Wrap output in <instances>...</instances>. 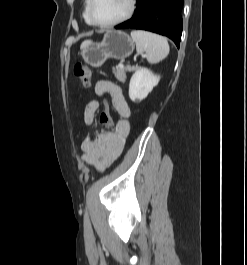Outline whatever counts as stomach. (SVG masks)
Returning a JSON list of instances; mask_svg holds the SVG:
<instances>
[{"label": "stomach", "instance_id": "obj_1", "mask_svg": "<svg viewBox=\"0 0 247 265\" xmlns=\"http://www.w3.org/2000/svg\"><path fill=\"white\" fill-rule=\"evenodd\" d=\"M134 50V41L123 31H109L99 43L85 41L81 45L84 61L92 67H101L109 58L122 60Z\"/></svg>", "mask_w": 247, "mask_h": 265}]
</instances>
